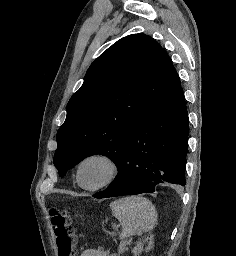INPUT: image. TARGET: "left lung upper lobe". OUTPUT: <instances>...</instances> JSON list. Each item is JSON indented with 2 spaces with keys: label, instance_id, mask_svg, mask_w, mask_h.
<instances>
[{
  "label": "left lung upper lobe",
  "instance_id": "obj_1",
  "mask_svg": "<svg viewBox=\"0 0 236 256\" xmlns=\"http://www.w3.org/2000/svg\"><path fill=\"white\" fill-rule=\"evenodd\" d=\"M179 86L170 57L150 36L118 40L91 64L67 104L53 158L59 175L94 154L118 167L137 122Z\"/></svg>",
  "mask_w": 236,
  "mask_h": 256
}]
</instances>
